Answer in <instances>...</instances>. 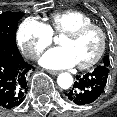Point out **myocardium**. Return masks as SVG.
Instances as JSON below:
<instances>
[{"label": "myocardium", "instance_id": "f54148a6", "mask_svg": "<svg viewBox=\"0 0 117 117\" xmlns=\"http://www.w3.org/2000/svg\"><path fill=\"white\" fill-rule=\"evenodd\" d=\"M90 30H96L100 34V37H101L100 47H99L97 53L88 62L82 63V64H77L78 68H80V69H89L101 60V58L103 57V55L105 53L106 47H107L106 32L104 31V29L102 27L92 23V24L82 25L80 27H77L71 31L64 33V36H66V37L78 38Z\"/></svg>", "mask_w": 117, "mask_h": 117}]
</instances>
